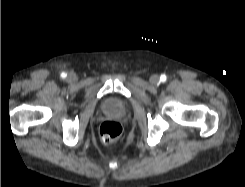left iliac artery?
<instances>
[{
  "label": "left iliac artery",
  "mask_w": 245,
  "mask_h": 187,
  "mask_svg": "<svg viewBox=\"0 0 245 187\" xmlns=\"http://www.w3.org/2000/svg\"><path fill=\"white\" fill-rule=\"evenodd\" d=\"M166 79H167L166 75H161V76H160V81H161V82H165Z\"/></svg>",
  "instance_id": "obj_1"
}]
</instances>
